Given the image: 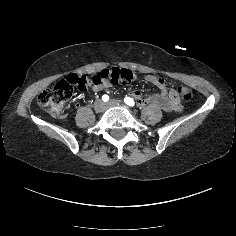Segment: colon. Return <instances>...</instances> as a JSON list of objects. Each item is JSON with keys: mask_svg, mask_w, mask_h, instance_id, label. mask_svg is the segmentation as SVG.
I'll list each match as a JSON object with an SVG mask.
<instances>
[{"mask_svg": "<svg viewBox=\"0 0 236 236\" xmlns=\"http://www.w3.org/2000/svg\"><path fill=\"white\" fill-rule=\"evenodd\" d=\"M135 79L136 75L125 68L105 69L93 76L71 74L57 82L53 88L42 91L38 96V105L53 117L60 118L76 90L87 91L103 83L129 84ZM177 94L183 100H190L192 97V91L188 87H178Z\"/></svg>", "mask_w": 236, "mask_h": 236, "instance_id": "1", "label": "colon"}]
</instances>
